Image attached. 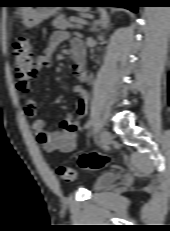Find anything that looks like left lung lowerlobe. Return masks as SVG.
<instances>
[{
	"label": "left lung lower lobe",
	"instance_id": "1",
	"mask_svg": "<svg viewBox=\"0 0 170 231\" xmlns=\"http://www.w3.org/2000/svg\"><path fill=\"white\" fill-rule=\"evenodd\" d=\"M105 1V5L103 6H111V4L113 3H122L124 5H122L121 7L130 9L133 12H137V8L140 7L142 1L141 0H104Z\"/></svg>",
	"mask_w": 170,
	"mask_h": 231
}]
</instances>
